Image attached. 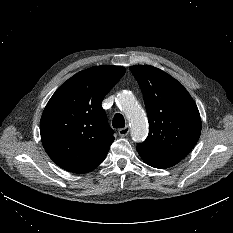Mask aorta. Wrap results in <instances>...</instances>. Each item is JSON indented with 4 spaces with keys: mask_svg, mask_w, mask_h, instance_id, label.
Returning a JSON list of instances; mask_svg holds the SVG:
<instances>
[{
    "mask_svg": "<svg viewBox=\"0 0 233 233\" xmlns=\"http://www.w3.org/2000/svg\"><path fill=\"white\" fill-rule=\"evenodd\" d=\"M118 103L129 120L132 139L135 142H142L148 134V124L134 95L131 92H122L118 96Z\"/></svg>",
    "mask_w": 233,
    "mask_h": 233,
    "instance_id": "obj_1",
    "label": "aorta"
}]
</instances>
